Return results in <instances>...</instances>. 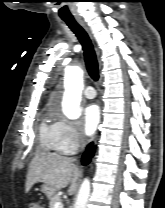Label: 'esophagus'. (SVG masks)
Instances as JSON below:
<instances>
[{
	"label": "esophagus",
	"instance_id": "obj_1",
	"mask_svg": "<svg viewBox=\"0 0 165 208\" xmlns=\"http://www.w3.org/2000/svg\"><path fill=\"white\" fill-rule=\"evenodd\" d=\"M77 21L88 33H90L88 27L86 26V24L83 20L78 19Z\"/></svg>",
	"mask_w": 165,
	"mask_h": 208
}]
</instances>
